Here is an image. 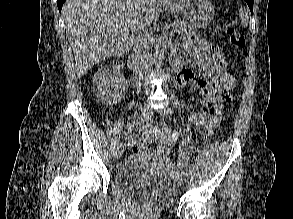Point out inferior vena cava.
<instances>
[{"mask_svg":"<svg viewBox=\"0 0 293 219\" xmlns=\"http://www.w3.org/2000/svg\"><path fill=\"white\" fill-rule=\"evenodd\" d=\"M145 0H136V4L141 6ZM134 55L136 69L135 75L146 76L151 71V58L149 53L148 30L144 25H138L134 37Z\"/></svg>","mask_w":293,"mask_h":219,"instance_id":"obj_1","label":"inferior vena cava"}]
</instances>
